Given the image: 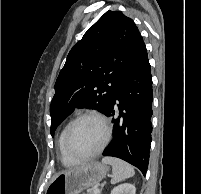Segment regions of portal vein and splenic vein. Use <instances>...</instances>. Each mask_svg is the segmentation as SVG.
I'll return each instance as SVG.
<instances>
[{
  "label": "portal vein and splenic vein",
  "instance_id": "obj_1",
  "mask_svg": "<svg viewBox=\"0 0 201 194\" xmlns=\"http://www.w3.org/2000/svg\"><path fill=\"white\" fill-rule=\"evenodd\" d=\"M100 191H101V190H100L99 188H95V189H94V194H99Z\"/></svg>",
  "mask_w": 201,
  "mask_h": 194
}]
</instances>
